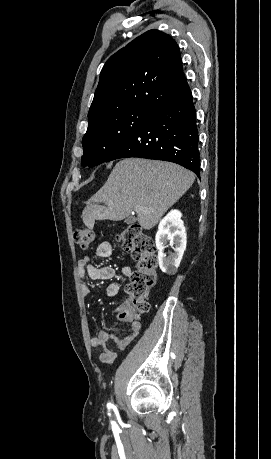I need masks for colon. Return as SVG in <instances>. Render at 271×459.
Wrapping results in <instances>:
<instances>
[{"instance_id": "5ec220e1", "label": "colon", "mask_w": 271, "mask_h": 459, "mask_svg": "<svg viewBox=\"0 0 271 459\" xmlns=\"http://www.w3.org/2000/svg\"><path fill=\"white\" fill-rule=\"evenodd\" d=\"M73 238L80 248L87 249L93 243L95 233L90 228H77ZM117 240L137 264L130 282L125 287L127 301L121 308V315L134 321L149 311V296L156 284L158 257L153 240L139 225H130L122 229L117 235Z\"/></svg>"}]
</instances>
